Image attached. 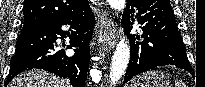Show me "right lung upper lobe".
Here are the masks:
<instances>
[{
	"label": "right lung upper lobe",
	"instance_id": "obj_1",
	"mask_svg": "<svg viewBox=\"0 0 205 87\" xmlns=\"http://www.w3.org/2000/svg\"><path fill=\"white\" fill-rule=\"evenodd\" d=\"M87 4L88 0H25L23 28L63 19Z\"/></svg>",
	"mask_w": 205,
	"mask_h": 87
}]
</instances>
